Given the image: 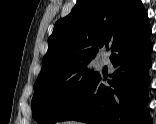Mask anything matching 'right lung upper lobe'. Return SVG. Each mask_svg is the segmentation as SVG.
<instances>
[{"label":"right lung upper lobe","mask_w":156,"mask_h":124,"mask_svg":"<svg viewBox=\"0 0 156 124\" xmlns=\"http://www.w3.org/2000/svg\"><path fill=\"white\" fill-rule=\"evenodd\" d=\"M147 26L141 0H77L72 12L56 22L38 78L91 61L99 48Z\"/></svg>","instance_id":"right-lung-upper-lobe-1"}]
</instances>
